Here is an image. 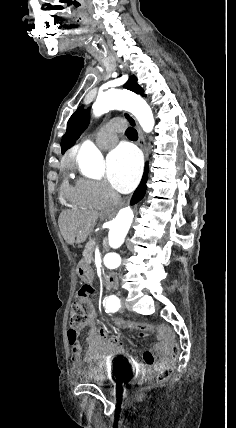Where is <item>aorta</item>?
<instances>
[{
	"label": "aorta",
	"instance_id": "aorta-1",
	"mask_svg": "<svg viewBox=\"0 0 236 428\" xmlns=\"http://www.w3.org/2000/svg\"><path fill=\"white\" fill-rule=\"evenodd\" d=\"M113 109L131 112L138 120L142 129L149 133L153 130L155 121L152 110L147 102L140 96L128 90H110L99 94L92 106L93 114L99 117ZM79 165L93 176H98L103 170V157L98 148L90 141H86L79 151ZM133 211L126 207L121 209L110 222L108 242L114 249L106 253L103 258L104 265L109 269L121 265V256L115 252L123 243L133 221Z\"/></svg>",
	"mask_w": 236,
	"mask_h": 428
}]
</instances>
